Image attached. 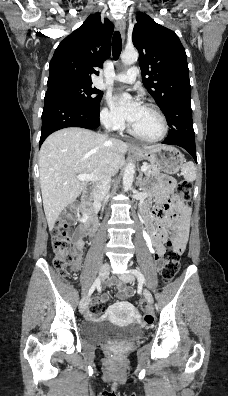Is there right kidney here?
<instances>
[{
  "label": "right kidney",
  "mask_w": 228,
  "mask_h": 396,
  "mask_svg": "<svg viewBox=\"0 0 228 396\" xmlns=\"http://www.w3.org/2000/svg\"><path fill=\"white\" fill-rule=\"evenodd\" d=\"M88 219V217L85 215V217L83 219H81V222H86V220Z\"/></svg>",
  "instance_id": "1"
}]
</instances>
